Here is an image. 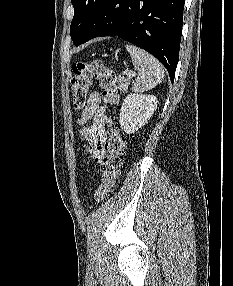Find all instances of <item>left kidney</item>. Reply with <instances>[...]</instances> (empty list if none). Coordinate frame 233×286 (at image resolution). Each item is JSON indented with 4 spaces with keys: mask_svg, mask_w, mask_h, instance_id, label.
Instances as JSON below:
<instances>
[{
    "mask_svg": "<svg viewBox=\"0 0 233 286\" xmlns=\"http://www.w3.org/2000/svg\"><path fill=\"white\" fill-rule=\"evenodd\" d=\"M157 108V98L147 94H129L120 110V125L127 134L144 126Z\"/></svg>",
    "mask_w": 233,
    "mask_h": 286,
    "instance_id": "left-kidney-1",
    "label": "left kidney"
}]
</instances>
